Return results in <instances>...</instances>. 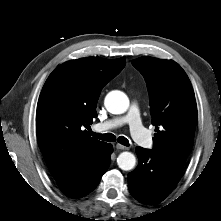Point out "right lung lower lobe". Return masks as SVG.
Returning <instances> with one entry per match:
<instances>
[{
    "instance_id": "1",
    "label": "right lung lower lobe",
    "mask_w": 221,
    "mask_h": 221,
    "mask_svg": "<svg viewBox=\"0 0 221 221\" xmlns=\"http://www.w3.org/2000/svg\"><path fill=\"white\" fill-rule=\"evenodd\" d=\"M111 152L112 146L109 144L107 152L100 162L56 180L61 191L72 198H80L93 191L110 165Z\"/></svg>"
}]
</instances>
